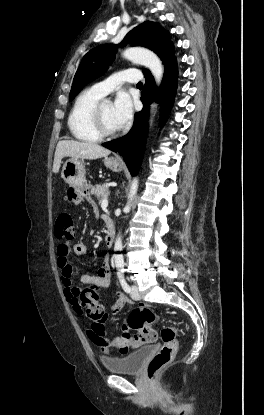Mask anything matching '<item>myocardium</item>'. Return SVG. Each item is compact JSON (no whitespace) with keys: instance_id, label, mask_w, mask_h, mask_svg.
<instances>
[{"instance_id":"f54148a6","label":"myocardium","mask_w":264,"mask_h":415,"mask_svg":"<svg viewBox=\"0 0 264 415\" xmlns=\"http://www.w3.org/2000/svg\"><path fill=\"white\" fill-rule=\"evenodd\" d=\"M90 120L93 130L101 139L114 138L119 136V130L115 132H109L106 130L101 115V104L97 103L95 107L92 109L90 114Z\"/></svg>"}]
</instances>
